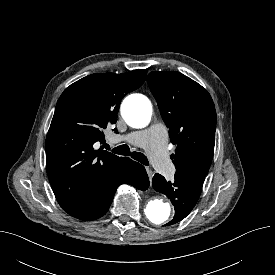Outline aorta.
Here are the masks:
<instances>
[{
    "mask_svg": "<svg viewBox=\"0 0 275 275\" xmlns=\"http://www.w3.org/2000/svg\"><path fill=\"white\" fill-rule=\"evenodd\" d=\"M153 113V106L149 99L141 94H133L127 97L121 105V114L125 122L134 128H142L148 125ZM147 219L155 225H163L172 216L170 203L161 199L151 200L145 210Z\"/></svg>",
    "mask_w": 275,
    "mask_h": 275,
    "instance_id": "aorta-1",
    "label": "aorta"
}]
</instances>
